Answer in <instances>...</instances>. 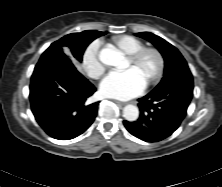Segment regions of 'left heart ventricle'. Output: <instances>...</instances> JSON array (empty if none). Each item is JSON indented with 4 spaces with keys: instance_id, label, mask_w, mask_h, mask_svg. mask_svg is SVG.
<instances>
[{
    "instance_id": "b2bd125f",
    "label": "left heart ventricle",
    "mask_w": 222,
    "mask_h": 187,
    "mask_svg": "<svg viewBox=\"0 0 222 187\" xmlns=\"http://www.w3.org/2000/svg\"><path fill=\"white\" fill-rule=\"evenodd\" d=\"M125 68H135L144 81L147 82L156 72L157 59L153 54H148L137 64H133L128 60Z\"/></svg>"
}]
</instances>
